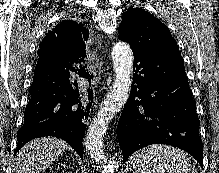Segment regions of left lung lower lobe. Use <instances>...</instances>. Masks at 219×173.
I'll return each instance as SVG.
<instances>
[{"label":"left lung lower lobe","instance_id":"left-lung-lower-lobe-1","mask_svg":"<svg viewBox=\"0 0 219 173\" xmlns=\"http://www.w3.org/2000/svg\"><path fill=\"white\" fill-rule=\"evenodd\" d=\"M133 53L134 84L117 128L124 162L136 150L158 143L187 151L202 167L200 122L183 58Z\"/></svg>","mask_w":219,"mask_h":173}]
</instances>
